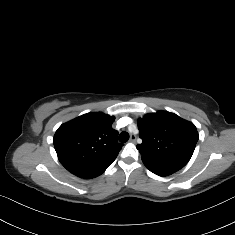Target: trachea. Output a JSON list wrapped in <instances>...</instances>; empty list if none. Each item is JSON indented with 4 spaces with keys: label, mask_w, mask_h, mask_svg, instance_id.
I'll use <instances>...</instances> for the list:
<instances>
[{
    "label": "trachea",
    "mask_w": 235,
    "mask_h": 235,
    "mask_svg": "<svg viewBox=\"0 0 235 235\" xmlns=\"http://www.w3.org/2000/svg\"><path fill=\"white\" fill-rule=\"evenodd\" d=\"M128 139H129V134L127 132L120 133V135H119L120 142L125 143L128 141Z\"/></svg>",
    "instance_id": "obj_1"
}]
</instances>
